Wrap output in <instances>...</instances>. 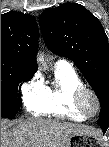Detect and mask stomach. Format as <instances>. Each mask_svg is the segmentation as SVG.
Masks as SVG:
<instances>
[{
	"label": "stomach",
	"mask_w": 109,
	"mask_h": 147,
	"mask_svg": "<svg viewBox=\"0 0 109 147\" xmlns=\"http://www.w3.org/2000/svg\"><path fill=\"white\" fill-rule=\"evenodd\" d=\"M102 137H95L86 134L71 136L68 147H105Z\"/></svg>",
	"instance_id": "1"
}]
</instances>
